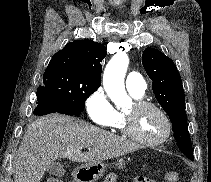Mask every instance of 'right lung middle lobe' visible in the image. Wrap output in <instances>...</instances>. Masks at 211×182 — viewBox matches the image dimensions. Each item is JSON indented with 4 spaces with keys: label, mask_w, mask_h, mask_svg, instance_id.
Returning <instances> with one entry per match:
<instances>
[{
    "label": "right lung middle lobe",
    "mask_w": 211,
    "mask_h": 182,
    "mask_svg": "<svg viewBox=\"0 0 211 182\" xmlns=\"http://www.w3.org/2000/svg\"><path fill=\"white\" fill-rule=\"evenodd\" d=\"M100 87L99 84L81 79L74 74L56 68H47L43 85L37 89V97L53 98L70 110L80 114L86 99Z\"/></svg>",
    "instance_id": "right-lung-middle-lobe-1"
}]
</instances>
